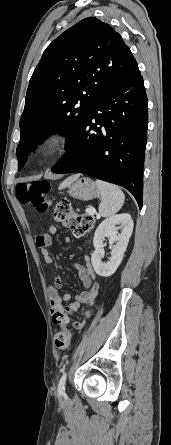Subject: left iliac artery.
Here are the masks:
<instances>
[{
    "instance_id": "obj_1",
    "label": "left iliac artery",
    "mask_w": 171,
    "mask_h": 445,
    "mask_svg": "<svg viewBox=\"0 0 171 445\" xmlns=\"http://www.w3.org/2000/svg\"><path fill=\"white\" fill-rule=\"evenodd\" d=\"M66 377H67V373H63V375H62V377H61V379L59 381V384H58V391L59 392H63L64 389H65Z\"/></svg>"
}]
</instances>
